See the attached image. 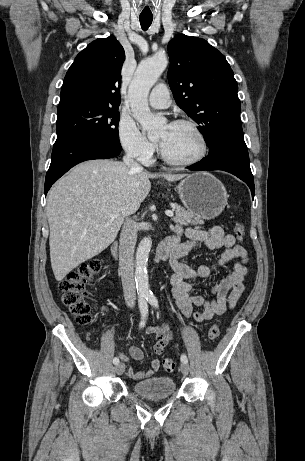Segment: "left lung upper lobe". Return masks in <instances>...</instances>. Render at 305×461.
I'll use <instances>...</instances> for the list:
<instances>
[{
  "instance_id": "1",
  "label": "left lung upper lobe",
  "mask_w": 305,
  "mask_h": 461,
  "mask_svg": "<svg viewBox=\"0 0 305 461\" xmlns=\"http://www.w3.org/2000/svg\"><path fill=\"white\" fill-rule=\"evenodd\" d=\"M168 81L177 105L196 123L209 153L227 128L241 126L238 85L225 56L201 38L175 36L168 44Z\"/></svg>"
}]
</instances>
